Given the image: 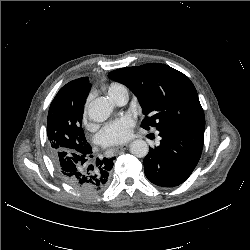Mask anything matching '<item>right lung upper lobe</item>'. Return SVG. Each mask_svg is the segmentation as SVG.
Returning <instances> with one entry per match:
<instances>
[{"instance_id": "right-lung-upper-lobe-1", "label": "right lung upper lobe", "mask_w": 250, "mask_h": 250, "mask_svg": "<svg viewBox=\"0 0 250 250\" xmlns=\"http://www.w3.org/2000/svg\"><path fill=\"white\" fill-rule=\"evenodd\" d=\"M90 88L88 77H82L67 83L55 97L65 101L73 109L86 101Z\"/></svg>"}]
</instances>
